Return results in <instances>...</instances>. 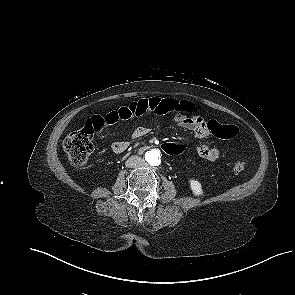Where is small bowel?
Returning <instances> with one entry per match:
<instances>
[{
    "label": "small bowel",
    "instance_id": "obj_1",
    "mask_svg": "<svg viewBox=\"0 0 295 295\" xmlns=\"http://www.w3.org/2000/svg\"><path fill=\"white\" fill-rule=\"evenodd\" d=\"M183 103L184 101H179L173 98H142L121 106L116 110L110 111L101 117L104 121V127H108L117 122L127 121L148 113H153L159 116L174 114L175 122L178 126L192 131L197 138L208 137L211 133L208 129V122L199 115L187 113L183 108ZM150 130L149 127L139 126L133 131L131 138H142L147 135ZM129 146V140H119L112 143L111 149L115 154H121L125 152ZM197 152L199 157L206 161H214L220 155L218 148L207 144L199 145Z\"/></svg>",
    "mask_w": 295,
    "mask_h": 295
}]
</instances>
